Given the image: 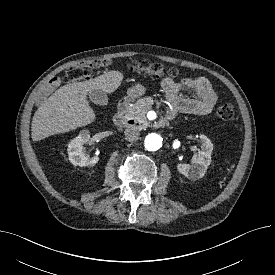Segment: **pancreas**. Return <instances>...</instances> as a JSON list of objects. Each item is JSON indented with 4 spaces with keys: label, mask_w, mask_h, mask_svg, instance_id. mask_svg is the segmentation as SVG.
I'll return each instance as SVG.
<instances>
[{
    "label": "pancreas",
    "mask_w": 275,
    "mask_h": 275,
    "mask_svg": "<svg viewBox=\"0 0 275 275\" xmlns=\"http://www.w3.org/2000/svg\"><path fill=\"white\" fill-rule=\"evenodd\" d=\"M154 100L152 97L138 99L126 111V117L136 120L140 125L147 126L146 113L152 109Z\"/></svg>",
    "instance_id": "pancreas-1"
}]
</instances>
